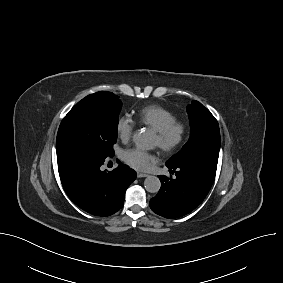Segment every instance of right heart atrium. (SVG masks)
Wrapping results in <instances>:
<instances>
[{"instance_id": "obj_1", "label": "right heart atrium", "mask_w": 283, "mask_h": 283, "mask_svg": "<svg viewBox=\"0 0 283 283\" xmlns=\"http://www.w3.org/2000/svg\"><path fill=\"white\" fill-rule=\"evenodd\" d=\"M135 129V122L131 117L124 115L118 118L116 122V133L120 140L127 142Z\"/></svg>"}]
</instances>
